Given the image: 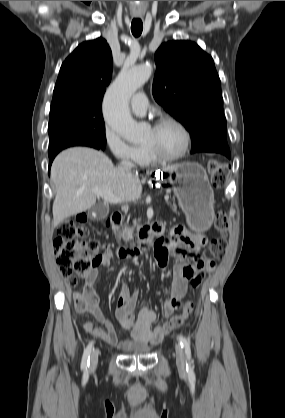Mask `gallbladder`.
Masks as SVG:
<instances>
[{
	"instance_id": "obj_1",
	"label": "gallbladder",
	"mask_w": 285,
	"mask_h": 418,
	"mask_svg": "<svg viewBox=\"0 0 285 418\" xmlns=\"http://www.w3.org/2000/svg\"><path fill=\"white\" fill-rule=\"evenodd\" d=\"M108 208L103 204H95L91 207L88 211V215L92 220H101L104 219L108 215Z\"/></svg>"
}]
</instances>
